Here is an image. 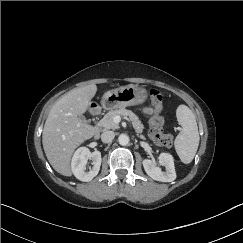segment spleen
I'll return each instance as SVG.
<instances>
[{"label":"spleen","mask_w":243,"mask_h":243,"mask_svg":"<svg viewBox=\"0 0 243 243\" xmlns=\"http://www.w3.org/2000/svg\"><path fill=\"white\" fill-rule=\"evenodd\" d=\"M176 116L182 130L176 137L174 146L180 160L188 164L193 160L199 145L197 122L194 113L186 105L178 106Z\"/></svg>","instance_id":"3e777b00"}]
</instances>
